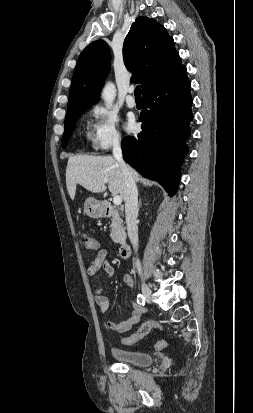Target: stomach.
<instances>
[{"label": "stomach", "instance_id": "1", "mask_svg": "<svg viewBox=\"0 0 253 413\" xmlns=\"http://www.w3.org/2000/svg\"><path fill=\"white\" fill-rule=\"evenodd\" d=\"M84 212L91 218H99L104 214V207L98 200L89 197L84 203Z\"/></svg>", "mask_w": 253, "mask_h": 413}]
</instances>
